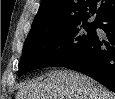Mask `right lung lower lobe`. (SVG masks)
Returning a JSON list of instances; mask_svg holds the SVG:
<instances>
[{
    "mask_svg": "<svg viewBox=\"0 0 115 99\" xmlns=\"http://www.w3.org/2000/svg\"><path fill=\"white\" fill-rule=\"evenodd\" d=\"M108 41L96 36L82 53L64 67L84 73L115 92V12L98 25Z\"/></svg>",
    "mask_w": 115,
    "mask_h": 99,
    "instance_id": "98d812e1",
    "label": "right lung lower lobe"
}]
</instances>
